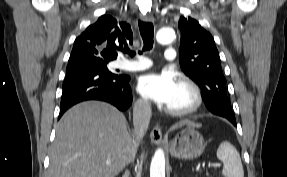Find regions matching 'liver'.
<instances>
[{
    "label": "liver",
    "mask_w": 287,
    "mask_h": 177,
    "mask_svg": "<svg viewBox=\"0 0 287 177\" xmlns=\"http://www.w3.org/2000/svg\"><path fill=\"white\" fill-rule=\"evenodd\" d=\"M184 125L201 127L182 121L172 129ZM132 153L125 116L110 104L83 102L58 122L47 177H115L131 161Z\"/></svg>",
    "instance_id": "liver-1"
}]
</instances>
